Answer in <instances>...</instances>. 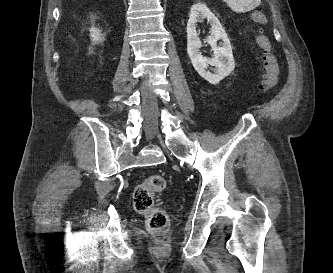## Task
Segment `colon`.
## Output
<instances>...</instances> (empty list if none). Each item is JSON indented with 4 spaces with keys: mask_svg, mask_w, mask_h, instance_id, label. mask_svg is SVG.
<instances>
[{
    "mask_svg": "<svg viewBox=\"0 0 333 273\" xmlns=\"http://www.w3.org/2000/svg\"><path fill=\"white\" fill-rule=\"evenodd\" d=\"M251 20L256 24H264L267 19L260 11L252 12ZM256 40L262 49L260 61L264 70L263 79L260 84L262 92H268L274 88L279 75V66L272 52V45L269 38L258 31ZM166 187V181L159 174H151L143 179L134 190L133 199L135 209L146 216L150 230L161 233L168 227L169 220L166 212L154 202V196L162 192Z\"/></svg>",
    "mask_w": 333,
    "mask_h": 273,
    "instance_id": "5ec220e1",
    "label": "colon"
}]
</instances>
